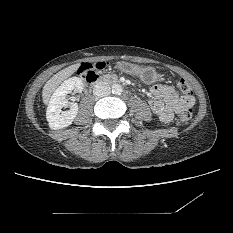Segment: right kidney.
Returning <instances> with one entry per match:
<instances>
[{
	"label": "right kidney",
	"mask_w": 233,
	"mask_h": 233,
	"mask_svg": "<svg viewBox=\"0 0 233 233\" xmlns=\"http://www.w3.org/2000/svg\"><path fill=\"white\" fill-rule=\"evenodd\" d=\"M83 82L78 77L65 80L53 93L46 111L49 127L53 130L62 129L72 124L78 113V105L72 103L70 110L62 112L63 107L68 106L66 95L71 91L82 92Z\"/></svg>",
	"instance_id": "obj_1"
}]
</instances>
